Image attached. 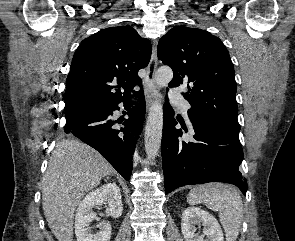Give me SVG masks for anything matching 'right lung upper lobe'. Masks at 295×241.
Returning a JSON list of instances; mask_svg holds the SVG:
<instances>
[{
	"mask_svg": "<svg viewBox=\"0 0 295 241\" xmlns=\"http://www.w3.org/2000/svg\"><path fill=\"white\" fill-rule=\"evenodd\" d=\"M151 50L149 40L130 26L106 28L84 39L66 80L65 115L130 97L142 84L138 71L148 65Z\"/></svg>",
	"mask_w": 295,
	"mask_h": 241,
	"instance_id": "cb5924a9",
	"label": "right lung upper lobe"
}]
</instances>
